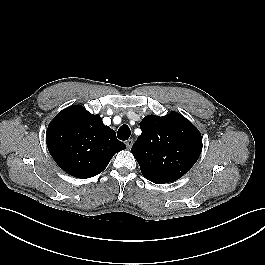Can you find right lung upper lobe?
I'll use <instances>...</instances> for the list:
<instances>
[{
    "label": "right lung upper lobe",
    "instance_id": "obj_1",
    "mask_svg": "<svg viewBox=\"0 0 265 265\" xmlns=\"http://www.w3.org/2000/svg\"><path fill=\"white\" fill-rule=\"evenodd\" d=\"M46 143L58 166L82 179L101 173L113 155L126 148L99 115L81 105L65 108L50 122Z\"/></svg>",
    "mask_w": 265,
    "mask_h": 265
}]
</instances>
